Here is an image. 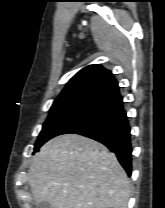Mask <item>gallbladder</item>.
Segmentation results:
<instances>
[{
  "label": "gallbladder",
  "instance_id": "1",
  "mask_svg": "<svg viewBox=\"0 0 165 208\" xmlns=\"http://www.w3.org/2000/svg\"><path fill=\"white\" fill-rule=\"evenodd\" d=\"M36 208H52V207L49 202L42 201V202L36 203Z\"/></svg>",
  "mask_w": 165,
  "mask_h": 208
}]
</instances>
